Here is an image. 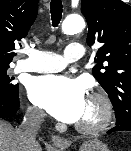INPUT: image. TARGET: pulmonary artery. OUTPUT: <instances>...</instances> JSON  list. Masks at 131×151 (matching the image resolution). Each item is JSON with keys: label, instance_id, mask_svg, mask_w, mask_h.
<instances>
[{"label": "pulmonary artery", "instance_id": "obj_1", "mask_svg": "<svg viewBox=\"0 0 131 151\" xmlns=\"http://www.w3.org/2000/svg\"><path fill=\"white\" fill-rule=\"evenodd\" d=\"M84 53V46L78 42L68 44L64 55L49 51L30 50L28 58L20 60L17 63V69L26 72H59L69 63L81 59Z\"/></svg>", "mask_w": 131, "mask_h": 151}]
</instances>
